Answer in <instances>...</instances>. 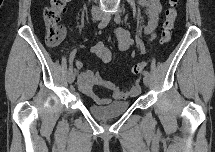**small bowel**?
<instances>
[{
    "instance_id": "1",
    "label": "small bowel",
    "mask_w": 215,
    "mask_h": 152,
    "mask_svg": "<svg viewBox=\"0 0 215 152\" xmlns=\"http://www.w3.org/2000/svg\"><path fill=\"white\" fill-rule=\"evenodd\" d=\"M138 4L144 7L147 16V23L143 27V32L149 36L150 40H153L161 12V3L159 0H139ZM114 34L119 50L126 51L132 46L133 39L127 30L117 28ZM90 52L105 64L112 61V52L102 41H97L91 45ZM133 56L135 55L133 54ZM76 68L78 71L79 88L96 103L106 104L112 100H121L140 93L141 86L139 82H135L130 88H117L110 81L104 79L99 72L84 68L79 61L76 62ZM96 87H102L110 91L111 95L109 97L97 95L95 92Z\"/></svg>"
}]
</instances>
